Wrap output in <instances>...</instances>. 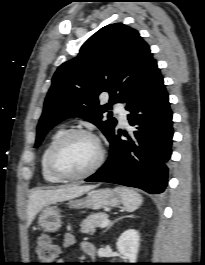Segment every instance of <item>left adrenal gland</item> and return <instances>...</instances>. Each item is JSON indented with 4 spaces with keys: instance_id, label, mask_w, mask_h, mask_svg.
<instances>
[{
    "instance_id": "1",
    "label": "left adrenal gland",
    "mask_w": 205,
    "mask_h": 265,
    "mask_svg": "<svg viewBox=\"0 0 205 265\" xmlns=\"http://www.w3.org/2000/svg\"><path fill=\"white\" fill-rule=\"evenodd\" d=\"M124 217H132V215H130V216H123V217L117 218L115 221L111 222V223L107 226V228L104 230V232H106L109 228H111V226H113V224H114L115 222H117L118 220H120V219H122V218H124Z\"/></svg>"
}]
</instances>
